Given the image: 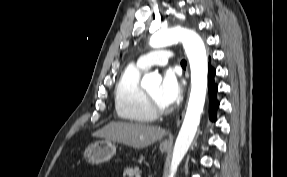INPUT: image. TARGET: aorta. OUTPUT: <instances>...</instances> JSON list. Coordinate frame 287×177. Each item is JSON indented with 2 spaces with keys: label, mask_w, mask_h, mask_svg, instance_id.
Wrapping results in <instances>:
<instances>
[{
  "label": "aorta",
  "mask_w": 287,
  "mask_h": 177,
  "mask_svg": "<svg viewBox=\"0 0 287 177\" xmlns=\"http://www.w3.org/2000/svg\"><path fill=\"white\" fill-rule=\"evenodd\" d=\"M182 42L190 63L191 92L183 124L173 149L169 177H174L179 164L187 153L198 128L203 111L207 91V54L204 42L193 30L175 27L154 33L150 38V46L161 48ZM157 73L144 75L141 86L149 88L153 83H160Z\"/></svg>",
  "instance_id": "1"
}]
</instances>
